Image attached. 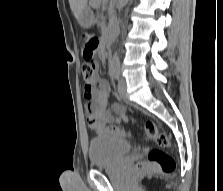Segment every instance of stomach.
<instances>
[{"label":"stomach","mask_w":223,"mask_h":191,"mask_svg":"<svg viewBox=\"0 0 223 191\" xmlns=\"http://www.w3.org/2000/svg\"><path fill=\"white\" fill-rule=\"evenodd\" d=\"M94 22V14L89 6L86 5L82 11L79 23L83 27H90Z\"/></svg>","instance_id":"obj_1"}]
</instances>
